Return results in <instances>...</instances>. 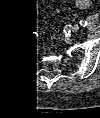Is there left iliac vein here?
<instances>
[{
  "label": "left iliac vein",
  "mask_w": 100,
  "mask_h": 118,
  "mask_svg": "<svg viewBox=\"0 0 100 118\" xmlns=\"http://www.w3.org/2000/svg\"><path fill=\"white\" fill-rule=\"evenodd\" d=\"M79 30V25L78 24H75L73 27H72V31L73 32H77Z\"/></svg>",
  "instance_id": "4c4485c4"
}]
</instances>
